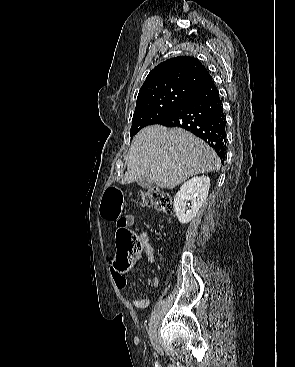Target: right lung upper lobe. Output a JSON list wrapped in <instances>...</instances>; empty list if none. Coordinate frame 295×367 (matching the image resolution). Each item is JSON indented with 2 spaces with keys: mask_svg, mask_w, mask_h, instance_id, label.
<instances>
[{
  "mask_svg": "<svg viewBox=\"0 0 295 367\" xmlns=\"http://www.w3.org/2000/svg\"><path fill=\"white\" fill-rule=\"evenodd\" d=\"M212 82L206 68L194 57L170 58L150 71L140 88L137 100L172 88H185L191 92Z\"/></svg>",
  "mask_w": 295,
  "mask_h": 367,
  "instance_id": "right-lung-upper-lobe-1",
  "label": "right lung upper lobe"
}]
</instances>
